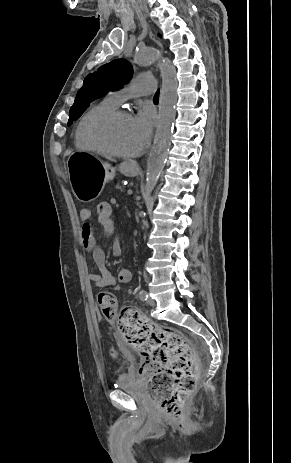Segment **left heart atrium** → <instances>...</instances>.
<instances>
[{
	"label": "left heart atrium",
	"mask_w": 291,
	"mask_h": 463,
	"mask_svg": "<svg viewBox=\"0 0 291 463\" xmlns=\"http://www.w3.org/2000/svg\"><path fill=\"white\" fill-rule=\"evenodd\" d=\"M154 117L150 111H141L132 117L133 126L140 138L142 145H145L152 133Z\"/></svg>",
	"instance_id": "left-heart-atrium-1"
}]
</instances>
